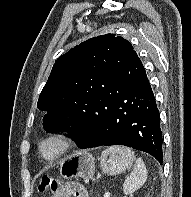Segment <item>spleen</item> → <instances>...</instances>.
<instances>
[{"instance_id": "3e777b00", "label": "spleen", "mask_w": 191, "mask_h": 197, "mask_svg": "<svg viewBox=\"0 0 191 197\" xmlns=\"http://www.w3.org/2000/svg\"><path fill=\"white\" fill-rule=\"evenodd\" d=\"M109 151L118 155L123 162L131 164L135 161L133 171L126 177L123 184V191L125 194H131L138 190L147 179V169L141 158H136L134 152L124 146H115L108 149Z\"/></svg>"}]
</instances>
